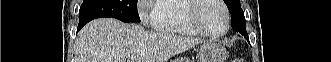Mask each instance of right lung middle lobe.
<instances>
[{
  "mask_svg": "<svg viewBox=\"0 0 331 62\" xmlns=\"http://www.w3.org/2000/svg\"><path fill=\"white\" fill-rule=\"evenodd\" d=\"M103 17L140 22L137 0H84L79 10L78 27L81 29L89 21Z\"/></svg>",
  "mask_w": 331,
  "mask_h": 62,
  "instance_id": "1",
  "label": "right lung middle lobe"
}]
</instances>
